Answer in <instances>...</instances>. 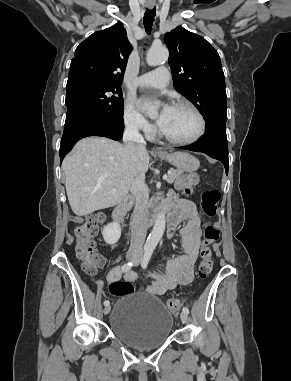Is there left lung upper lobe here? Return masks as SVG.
<instances>
[{"label":"left lung upper lobe","mask_w":291,"mask_h":381,"mask_svg":"<svg viewBox=\"0 0 291 381\" xmlns=\"http://www.w3.org/2000/svg\"><path fill=\"white\" fill-rule=\"evenodd\" d=\"M175 89L206 121V131L226 129L224 73L218 52L203 37L179 26L164 36Z\"/></svg>","instance_id":"left-lung-upper-lobe-1"}]
</instances>
